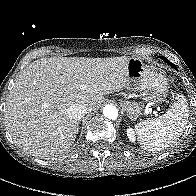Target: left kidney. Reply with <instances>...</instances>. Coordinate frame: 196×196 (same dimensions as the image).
Wrapping results in <instances>:
<instances>
[{"label": "left kidney", "mask_w": 196, "mask_h": 196, "mask_svg": "<svg viewBox=\"0 0 196 196\" xmlns=\"http://www.w3.org/2000/svg\"><path fill=\"white\" fill-rule=\"evenodd\" d=\"M127 136L130 141L134 142L136 140L135 131L132 128L127 129Z\"/></svg>", "instance_id": "obj_1"}]
</instances>
